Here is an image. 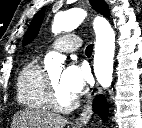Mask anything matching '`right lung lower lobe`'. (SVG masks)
Instances as JSON below:
<instances>
[{
  "instance_id": "1",
  "label": "right lung lower lobe",
  "mask_w": 142,
  "mask_h": 128,
  "mask_svg": "<svg viewBox=\"0 0 142 128\" xmlns=\"http://www.w3.org/2000/svg\"><path fill=\"white\" fill-rule=\"evenodd\" d=\"M93 111L106 120L108 115V106L103 96H96L93 102Z\"/></svg>"
}]
</instances>
